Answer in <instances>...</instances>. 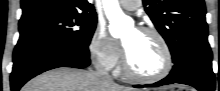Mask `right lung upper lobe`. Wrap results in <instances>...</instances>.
Here are the masks:
<instances>
[{
    "instance_id": "obj_1",
    "label": "right lung upper lobe",
    "mask_w": 220,
    "mask_h": 91,
    "mask_svg": "<svg viewBox=\"0 0 220 91\" xmlns=\"http://www.w3.org/2000/svg\"><path fill=\"white\" fill-rule=\"evenodd\" d=\"M21 8L23 14L19 24L55 14H96L93 5L87 0H22Z\"/></svg>"
}]
</instances>
